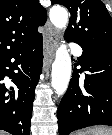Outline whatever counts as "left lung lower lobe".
I'll return each mask as SVG.
<instances>
[{
    "label": "left lung lower lobe",
    "mask_w": 112,
    "mask_h": 135,
    "mask_svg": "<svg viewBox=\"0 0 112 135\" xmlns=\"http://www.w3.org/2000/svg\"><path fill=\"white\" fill-rule=\"evenodd\" d=\"M62 98L57 118L60 135L92 125L112 126V54L83 49ZM87 71L85 79L79 73Z\"/></svg>",
    "instance_id": "left-lung-lower-lobe-1"
}]
</instances>
